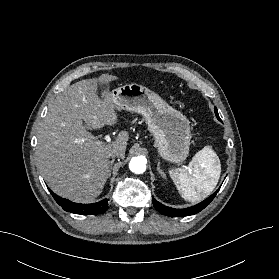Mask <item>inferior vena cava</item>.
I'll use <instances>...</instances> for the list:
<instances>
[{"label": "inferior vena cava", "instance_id": "inferior-vena-cava-1", "mask_svg": "<svg viewBox=\"0 0 279 279\" xmlns=\"http://www.w3.org/2000/svg\"><path fill=\"white\" fill-rule=\"evenodd\" d=\"M123 154V150L121 149H113L110 151L109 156H121Z\"/></svg>", "mask_w": 279, "mask_h": 279}]
</instances>
